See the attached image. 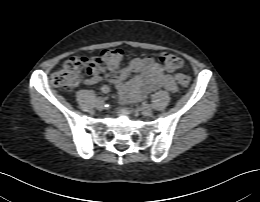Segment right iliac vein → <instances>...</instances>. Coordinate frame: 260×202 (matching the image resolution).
Segmentation results:
<instances>
[{
  "instance_id": "1",
  "label": "right iliac vein",
  "mask_w": 260,
  "mask_h": 202,
  "mask_svg": "<svg viewBox=\"0 0 260 202\" xmlns=\"http://www.w3.org/2000/svg\"><path fill=\"white\" fill-rule=\"evenodd\" d=\"M97 108H98V110H103L104 109V102L103 101H98Z\"/></svg>"
}]
</instances>
